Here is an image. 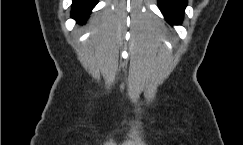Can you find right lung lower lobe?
Listing matches in <instances>:
<instances>
[{"label":"right lung lower lobe","instance_id":"obj_1","mask_svg":"<svg viewBox=\"0 0 243 145\" xmlns=\"http://www.w3.org/2000/svg\"><path fill=\"white\" fill-rule=\"evenodd\" d=\"M98 0H73L71 15L79 23L85 22Z\"/></svg>","mask_w":243,"mask_h":145}]
</instances>
